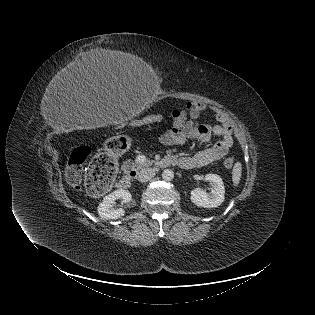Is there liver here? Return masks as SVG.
<instances>
[{
  "instance_id": "obj_1",
  "label": "liver",
  "mask_w": 315,
  "mask_h": 315,
  "mask_svg": "<svg viewBox=\"0 0 315 315\" xmlns=\"http://www.w3.org/2000/svg\"><path fill=\"white\" fill-rule=\"evenodd\" d=\"M135 60V57L129 53L100 49L83 57L62 74L66 79L93 80L100 76L117 79L130 71ZM112 120L110 118V123Z\"/></svg>"
}]
</instances>
